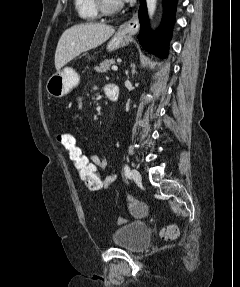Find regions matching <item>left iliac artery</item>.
Masks as SVG:
<instances>
[{"label":"left iliac artery","instance_id":"obj_1","mask_svg":"<svg viewBox=\"0 0 240 287\" xmlns=\"http://www.w3.org/2000/svg\"><path fill=\"white\" fill-rule=\"evenodd\" d=\"M124 173L126 177H130L131 173H130V168L128 165H125L124 167Z\"/></svg>","mask_w":240,"mask_h":287}]
</instances>
